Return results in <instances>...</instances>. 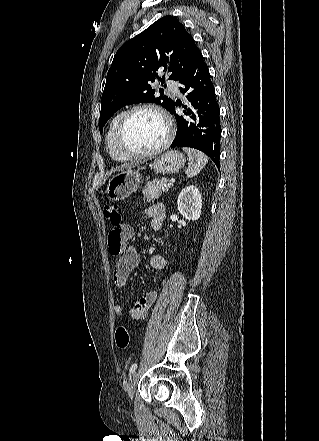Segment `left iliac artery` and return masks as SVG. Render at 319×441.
<instances>
[{"label": "left iliac artery", "mask_w": 319, "mask_h": 441, "mask_svg": "<svg viewBox=\"0 0 319 441\" xmlns=\"http://www.w3.org/2000/svg\"><path fill=\"white\" fill-rule=\"evenodd\" d=\"M136 368H137V363L132 364L129 370L130 374L133 373L136 370Z\"/></svg>", "instance_id": "left-iliac-artery-1"}]
</instances>
